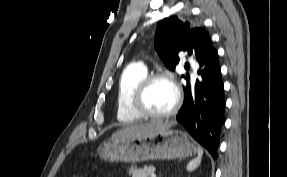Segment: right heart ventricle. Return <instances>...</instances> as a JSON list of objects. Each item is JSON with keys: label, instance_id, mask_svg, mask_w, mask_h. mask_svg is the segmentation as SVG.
I'll use <instances>...</instances> for the list:
<instances>
[{"label": "right heart ventricle", "instance_id": "1", "mask_svg": "<svg viewBox=\"0 0 287 177\" xmlns=\"http://www.w3.org/2000/svg\"><path fill=\"white\" fill-rule=\"evenodd\" d=\"M147 74V68L142 64L129 65L121 73L116 94V117L119 122L129 124L142 119L133 110L131 99L136 87Z\"/></svg>", "mask_w": 287, "mask_h": 177}]
</instances>
